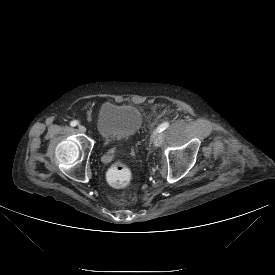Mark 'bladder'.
Instances as JSON below:
<instances>
[{
	"label": "bladder",
	"mask_w": 275,
	"mask_h": 275,
	"mask_svg": "<svg viewBox=\"0 0 275 275\" xmlns=\"http://www.w3.org/2000/svg\"><path fill=\"white\" fill-rule=\"evenodd\" d=\"M143 125L141 110L133 104L104 103L97 116V127L105 141H123L134 137Z\"/></svg>",
	"instance_id": "31cf9c89"
}]
</instances>
